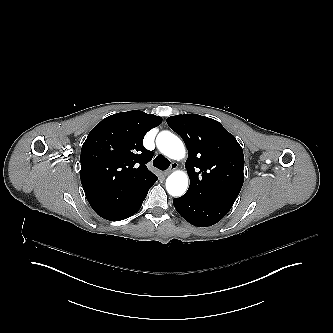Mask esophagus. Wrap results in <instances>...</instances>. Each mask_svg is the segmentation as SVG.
<instances>
[{
    "instance_id": "34e87169",
    "label": "esophagus",
    "mask_w": 333,
    "mask_h": 333,
    "mask_svg": "<svg viewBox=\"0 0 333 333\" xmlns=\"http://www.w3.org/2000/svg\"><path fill=\"white\" fill-rule=\"evenodd\" d=\"M178 167V164L176 162H173L170 166V168L164 172V175H169L172 171H174Z\"/></svg>"
}]
</instances>
